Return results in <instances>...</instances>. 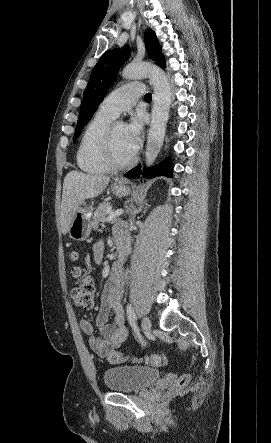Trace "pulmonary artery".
Segmentation results:
<instances>
[{"label":"pulmonary artery","instance_id":"pulmonary-artery-1","mask_svg":"<svg viewBox=\"0 0 271 443\" xmlns=\"http://www.w3.org/2000/svg\"><path fill=\"white\" fill-rule=\"evenodd\" d=\"M143 90L144 86L141 83L135 82L124 85L107 95L100 103L98 111L115 118L121 112L132 108Z\"/></svg>","mask_w":271,"mask_h":443}]
</instances>
